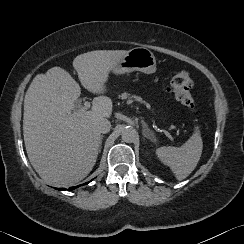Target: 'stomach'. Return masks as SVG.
Here are the masks:
<instances>
[{
  "label": "stomach",
  "instance_id": "stomach-1",
  "mask_svg": "<svg viewBox=\"0 0 244 244\" xmlns=\"http://www.w3.org/2000/svg\"><path fill=\"white\" fill-rule=\"evenodd\" d=\"M132 71H140L151 74L156 71V58L154 54L145 47H135L121 58L114 66V74H125Z\"/></svg>",
  "mask_w": 244,
  "mask_h": 244
}]
</instances>
